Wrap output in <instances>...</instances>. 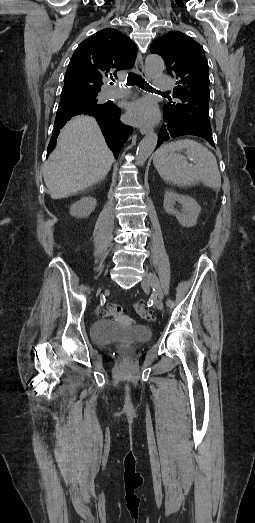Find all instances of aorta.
I'll return each mask as SVG.
<instances>
[{"mask_svg":"<svg viewBox=\"0 0 255 523\" xmlns=\"http://www.w3.org/2000/svg\"><path fill=\"white\" fill-rule=\"evenodd\" d=\"M165 69L163 59L158 56L151 54L147 56L145 61V71L148 77L155 78L162 74ZM158 135L154 132L146 135L138 145L136 151V164L143 165L149 156L154 151L157 145Z\"/></svg>","mask_w":255,"mask_h":523,"instance_id":"obj_1","label":"aorta"}]
</instances>
